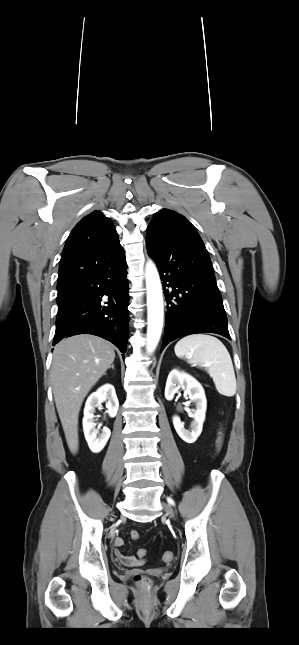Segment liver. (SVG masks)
I'll list each match as a JSON object with an SVG mask.
<instances>
[{"label":"liver","instance_id":"1","mask_svg":"<svg viewBox=\"0 0 299 645\" xmlns=\"http://www.w3.org/2000/svg\"><path fill=\"white\" fill-rule=\"evenodd\" d=\"M113 346L88 334L59 342L53 352L51 383L58 415L71 453L78 451V416L91 388L111 367Z\"/></svg>","mask_w":299,"mask_h":645}]
</instances>
